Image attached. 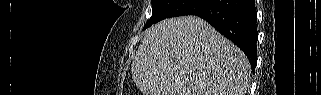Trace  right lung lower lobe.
<instances>
[{"label": "right lung lower lobe", "instance_id": "right-lung-lower-lobe-1", "mask_svg": "<svg viewBox=\"0 0 321 95\" xmlns=\"http://www.w3.org/2000/svg\"><path fill=\"white\" fill-rule=\"evenodd\" d=\"M192 15L209 22L248 57L254 71L257 63V12L254 0H209Z\"/></svg>", "mask_w": 321, "mask_h": 95}]
</instances>
